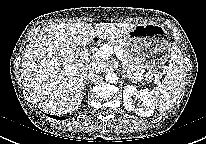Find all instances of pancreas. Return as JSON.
<instances>
[{
    "instance_id": "cf45deb5",
    "label": "pancreas",
    "mask_w": 206,
    "mask_h": 144,
    "mask_svg": "<svg viewBox=\"0 0 206 144\" xmlns=\"http://www.w3.org/2000/svg\"><path fill=\"white\" fill-rule=\"evenodd\" d=\"M105 45L117 46L122 51V64L126 69L128 76L131 79H137V77H142L145 70L140 67L137 60L130 54L126 43L123 40H111Z\"/></svg>"
}]
</instances>
